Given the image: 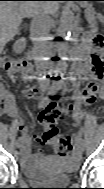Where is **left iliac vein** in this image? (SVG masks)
Here are the masks:
<instances>
[{"mask_svg": "<svg viewBox=\"0 0 104 189\" xmlns=\"http://www.w3.org/2000/svg\"><path fill=\"white\" fill-rule=\"evenodd\" d=\"M78 149H79L80 152H83L84 149H85L84 144L80 142V144H79V148H78Z\"/></svg>", "mask_w": 104, "mask_h": 189, "instance_id": "1", "label": "left iliac vein"}]
</instances>
